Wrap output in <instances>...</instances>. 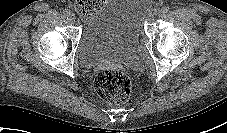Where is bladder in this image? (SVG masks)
<instances>
[{"instance_id": "31cf9c89", "label": "bladder", "mask_w": 227, "mask_h": 133, "mask_svg": "<svg viewBox=\"0 0 227 133\" xmlns=\"http://www.w3.org/2000/svg\"><path fill=\"white\" fill-rule=\"evenodd\" d=\"M148 0H106L84 25L77 56L84 67L117 61L136 68Z\"/></svg>"}]
</instances>
